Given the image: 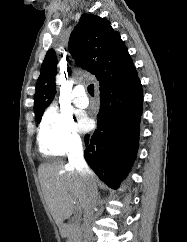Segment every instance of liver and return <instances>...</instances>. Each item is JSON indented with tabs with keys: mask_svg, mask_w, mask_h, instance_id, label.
Instances as JSON below:
<instances>
[{
	"mask_svg": "<svg viewBox=\"0 0 187 242\" xmlns=\"http://www.w3.org/2000/svg\"><path fill=\"white\" fill-rule=\"evenodd\" d=\"M38 176L47 208L58 227L74 212V202L84 208L88 187L91 182H97L94 174L84 178L62 161L41 164Z\"/></svg>",
	"mask_w": 187,
	"mask_h": 242,
	"instance_id": "1",
	"label": "liver"
}]
</instances>
